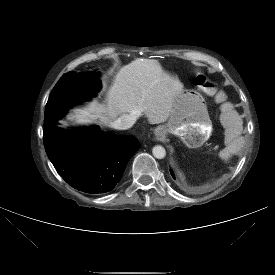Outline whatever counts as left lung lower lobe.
Wrapping results in <instances>:
<instances>
[{"mask_svg": "<svg viewBox=\"0 0 275 275\" xmlns=\"http://www.w3.org/2000/svg\"><path fill=\"white\" fill-rule=\"evenodd\" d=\"M170 173H171L172 177L174 178V174H173V171H172V170H170Z\"/></svg>", "mask_w": 275, "mask_h": 275, "instance_id": "1", "label": "left lung lower lobe"}]
</instances>
